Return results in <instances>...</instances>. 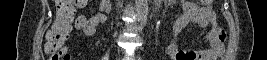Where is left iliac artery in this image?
Here are the masks:
<instances>
[{"instance_id":"1","label":"left iliac artery","mask_w":267,"mask_h":60,"mask_svg":"<svg viewBox=\"0 0 267 60\" xmlns=\"http://www.w3.org/2000/svg\"><path fill=\"white\" fill-rule=\"evenodd\" d=\"M138 60H141V57H138Z\"/></svg>"}]
</instances>
